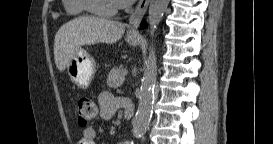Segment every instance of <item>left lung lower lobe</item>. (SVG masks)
<instances>
[{
	"label": "left lung lower lobe",
	"instance_id": "obj_1",
	"mask_svg": "<svg viewBox=\"0 0 273 144\" xmlns=\"http://www.w3.org/2000/svg\"><path fill=\"white\" fill-rule=\"evenodd\" d=\"M141 27H142V28H144V27H145V22H143V23H142Z\"/></svg>",
	"mask_w": 273,
	"mask_h": 144
}]
</instances>
